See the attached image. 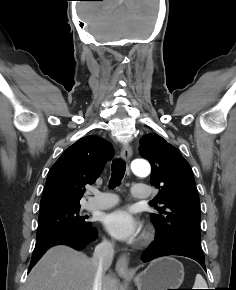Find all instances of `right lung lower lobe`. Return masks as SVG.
<instances>
[{
    "label": "right lung lower lobe",
    "mask_w": 236,
    "mask_h": 290,
    "mask_svg": "<svg viewBox=\"0 0 236 290\" xmlns=\"http://www.w3.org/2000/svg\"><path fill=\"white\" fill-rule=\"evenodd\" d=\"M97 231L90 225L73 230H60L37 237L28 272L42 257L46 250L54 245L65 244L74 249H82L96 238Z\"/></svg>",
    "instance_id": "1"
}]
</instances>
